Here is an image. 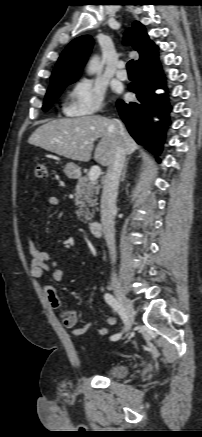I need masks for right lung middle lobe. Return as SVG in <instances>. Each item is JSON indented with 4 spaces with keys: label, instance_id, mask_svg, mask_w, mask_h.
<instances>
[{
    "label": "right lung middle lobe",
    "instance_id": "dd1d6c3e",
    "mask_svg": "<svg viewBox=\"0 0 202 437\" xmlns=\"http://www.w3.org/2000/svg\"><path fill=\"white\" fill-rule=\"evenodd\" d=\"M79 77L76 78H72L69 80H63V81H59L56 82L52 85H50L46 96H45V100H44V105H43V110L44 111H48L50 109V107L52 106V104L54 103V101L59 97V95L62 93V91L64 90V88L75 82Z\"/></svg>",
    "mask_w": 202,
    "mask_h": 437
}]
</instances>
